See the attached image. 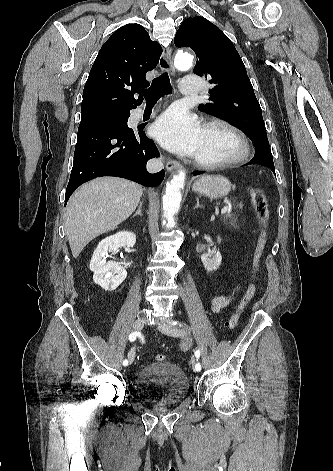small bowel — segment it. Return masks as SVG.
<instances>
[{
    "label": "small bowel",
    "mask_w": 333,
    "mask_h": 471,
    "mask_svg": "<svg viewBox=\"0 0 333 471\" xmlns=\"http://www.w3.org/2000/svg\"><path fill=\"white\" fill-rule=\"evenodd\" d=\"M234 300L235 296L231 294L214 295L210 300L211 310L215 313H219L232 304Z\"/></svg>",
    "instance_id": "c3829d8e"
}]
</instances>
